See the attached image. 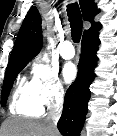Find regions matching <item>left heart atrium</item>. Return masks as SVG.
I'll list each match as a JSON object with an SVG mask.
<instances>
[{
	"mask_svg": "<svg viewBox=\"0 0 117 136\" xmlns=\"http://www.w3.org/2000/svg\"><path fill=\"white\" fill-rule=\"evenodd\" d=\"M77 75L76 66L73 63H67L63 68V76L67 82H71Z\"/></svg>",
	"mask_w": 117,
	"mask_h": 136,
	"instance_id": "39dd6f15",
	"label": "left heart atrium"
}]
</instances>
